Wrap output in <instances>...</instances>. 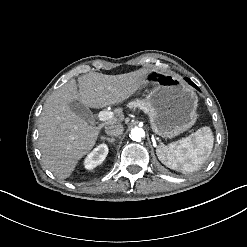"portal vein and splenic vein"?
Here are the masks:
<instances>
[{
    "mask_svg": "<svg viewBox=\"0 0 247 247\" xmlns=\"http://www.w3.org/2000/svg\"><path fill=\"white\" fill-rule=\"evenodd\" d=\"M115 117V114L113 111H101L99 113V119L101 121H106V120H110L112 118ZM154 145H157V143L155 142Z\"/></svg>",
    "mask_w": 247,
    "mask_h": 247,
    "instance_id": "1",
    "label": "portal vein and splenic vein"
}]
</instances>
